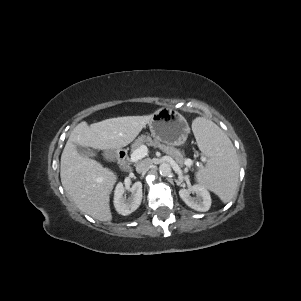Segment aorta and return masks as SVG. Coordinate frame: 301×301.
<instances>
[{
	"label": "aorta",
	"mask_w": 301,
	"mask_h": 301,
	"mask_svg": "<svg viewBox=\"0 0 301 301\" xmlns=\"http://www.w3.org/2000/svg\"><path fill=\"white\" fill-rule=\"evenodd\" d=\"M171 171H172L171 166L168 163H162L159 166V173L161 176H168L171 174Z\"/></svg>",
	"instance_id": "1"
}]
</instances>
